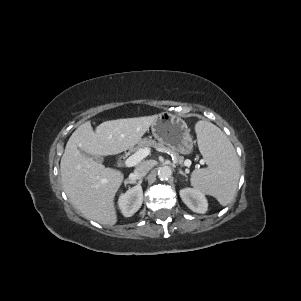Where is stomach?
I'll use <instances>...</instances> for the list:
<instances>
[{"instance_id":"stomach-1","label":"stomach","mask_w":301,"mask_h":301,"mask_svg":"<svg viewBox=\"0 0 301 301\" xmlns=\"http://www.w3.org/2000/svg\"><path fill=\"white\" fill-rule=\"evenodd\" d=\"M153 136L173 151L189 155L194 150V141L186 122L170 113H161L151 125Z\"/></svg>"}]
</instances>
